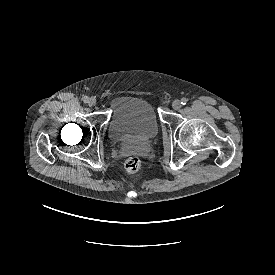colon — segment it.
Returning <instances> with one entry per match:
<instances>
[{"label":"colon","mask_w":275,"mask_h":275,"mask_svg":"<svg viewBox=\"0 0 275 275\" xmlns=\"http://www.w3.org/2000/svg\"><path fill=\"white\" fill-rule=\"evenodd\" d=\"M141 162L137 156H130L125 161L124 167L129 174L136 173L140 168Z\"/></svg>","instance_id":"5ec220e1"}]
</instances>
